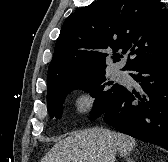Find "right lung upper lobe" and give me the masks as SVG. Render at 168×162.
Here are the masks:
<instances>
[{
	"label": "right lung upper lobe",
	"instance_id": "right-lung-upper-lobe-1",
	"mask_svg": "<svg viewBox=\"0 0 168 162\" xmlns=\"http://www.w3.org/2000/svg\"><path fill=\"white\" fill-rule=\"evenodd\" d=\"M130 52L123 70L168 52V10L160 0H98L64 21L48 68V86L105 71L107 52Z\"/></svg>",
	"mask_w": 168,
	"mask_h": 162
}]
</instances>
